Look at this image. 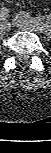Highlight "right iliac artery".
Wrapping results in <instances>:
<instances>
[{"label":"right iliac artery","mask_w":51,"mask_h":153,"mask_svg":"<svg viewBox=\"0 0 51 153\" xmlns=\"http://www.w3.org/2000/svg\"><path fill=\"white\" fill-rule=\"evenodd\" d=\"M9 9L3 7L0 9V20L5 21L8 18Z\"/></svg>","instance_id":"1"}]
</instances>
